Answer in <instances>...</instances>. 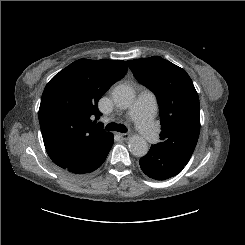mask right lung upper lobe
<instances>
[{"mask_svg":"<svg viewBox=\"0 0 245 245\" xmlns=\"http://www.w3.org/2000/svg\"><path fill=\"white\" fill-rule=\"evenodd\" d=\"M127 72L122 60L80 59L46 85L39 123L46 151L63 169L78 163L109 132L97 123L98 100Z\"/></svg>","mask_w":245,"mask_h":245,"instance_id":"1","label":"right lung upper lobe"}]
</instances>
